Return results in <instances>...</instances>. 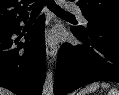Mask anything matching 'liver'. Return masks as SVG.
Segmentation results:
<instances>
[{
    "mask_svg": "<svg viewBox=\"0 0 119 95\" xmlns=\"http://www.w3.org/2000/svg\"><path fill=\"white\" fill-rule=\"evenodd\" d=\"M0 95H13L9 90L0 87Z\"/></svg>",
    "mask_w": 119,
    "mask_h": 95,
    "instance_id": "liver-1",
    "label": "liver"
}]
</instances>
